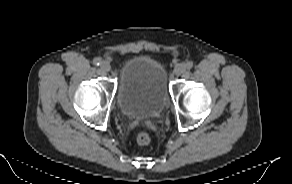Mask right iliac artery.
<instances>
[{
    "label": "right iliac artery",
    "mask_w": 292,
    "mask_h": 184,
    "mask_svg": "<svg viewBox=\"0 0 292 184\" xmlns=\"http://www.w3.org/2000/svg\"><path fill=\"white\" fill-rule=\"evenodd\" d=\"M93 63H94V65L99 66V65L102 63V61H101L100 58H95V59L93 60Z\"/></svg>",
    "instance_id": "1"
}]
</instances>
